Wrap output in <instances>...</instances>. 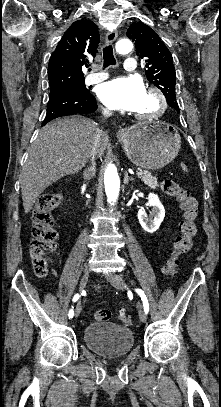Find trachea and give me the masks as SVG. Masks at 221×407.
Returning <instances> with one entry per match:
<instances>
[{"instance_id":"3493384b","label":"trachea","mask_w":221,"mask_h":407,"mask_svg":"<svg viewBox=\"0 0 221 407\" xmlns=\"http://www.w3.org/2000/svg\"><path fill=\"white\" fill-rule=\"evenodd\" d=\"M103 59H104V67H108L110 65L116 64V60L113 55L112 46L108 45L103 48Z\"/></svg>"}]
</instances>
